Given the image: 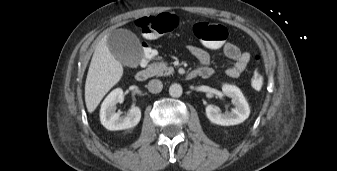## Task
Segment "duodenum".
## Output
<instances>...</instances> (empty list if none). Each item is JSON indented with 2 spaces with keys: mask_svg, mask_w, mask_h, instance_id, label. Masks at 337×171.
<instances>
[{
  "mask_svg": "<svg viewBox=\"0 0 337 171\" xmlns=\"http://www.w3.org/2000/svg\"><path fill=\"white\" fill-rule=\"evenodd\" d=\"M210 75V70L208 69H200L197 68L195 70H192L187 74L188 79H195V78H207ZM150 76V70L147 68L141 69L136 74V79L138 81H144L148 79Z\"/></svg>",
  "mask_w": 337,
  "mask_h": 171,
  "instance_id": "obj_1",
  "label": "duodenum"
}]
</instances>
